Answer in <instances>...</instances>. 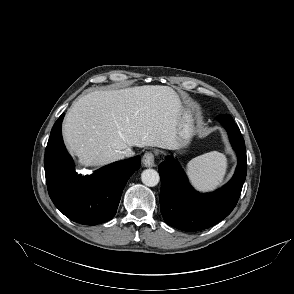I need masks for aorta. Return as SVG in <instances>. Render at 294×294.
<instances>
[{"instance_id": "1", "label": "aorta", "mask_w": 294, "mask_h": 294, "mask_svg": "<svg viewBox=\"0 0 294 294\" xmlns=\"http://www.w3.org/2000/svg\"><path fill=\"white\" fill-rule=\"evenodd\" d=\"M141 180L144 185L154 187L160 181L159 173L154 169H146L141 174Z\"/></svg>"}]
</instances>
